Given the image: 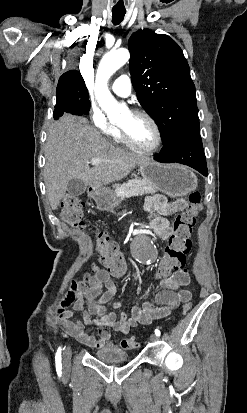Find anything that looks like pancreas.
<instances>
[{
	"instance_id": "pancreas-1",
	"label": "pancreas",
	"mask_w": 247,
	"mask_h": 413,
	"mask_svg": "<svg viewBox=\"0 0 247 413\" xmlns=\"http://www.w3.org/2000/svg\"><path fill=\"white\" fill-rule=\"evenodd\" d=\"M114 194L124 200V198H130V196H139V194H149V192H157V188H154L150 182L144 180V178H131L123 184H118Z\"/></svg>"
}]
</instances>
